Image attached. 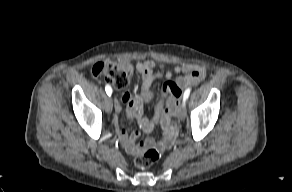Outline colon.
Listing matches in <instances>:
<instances>
[{"instance_id":"5ec220e1","label":"colon","mask_w":292,"mask_h":192,"mask_svg":"<svg viewBox=\"0 0 292 192\" xmlns=\"http://www.w3.org/2000/svg\"><path fill=\"white\" fill-rule=\"evenodd\" d=\"M94 78L102 79L116 89L126 88L132 76V66L126 62L99 61L91 68ZM160 157V151L155 147L147 148L134 160L136 167L145 169L154 164Z\"/></svg>"}]
</instances>
